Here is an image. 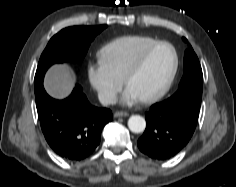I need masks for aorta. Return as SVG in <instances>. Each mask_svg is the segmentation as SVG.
Wrapping results in <instances>:
<instances>
[{
	"instance_id": "1",
	"label": "aorta",
	"mask_w": 236,
	"mask_h": 187,
	"mask_svg": "<svg viewBox=\"0 0 236 187\" xmlns=\"http://www.w3.org/2000/svg\"><path fill=\"white\" fill-rule=\"evenodd\" d=\"M128 127L134 133H141L146 128V121L140 115H132L128 120Z\"/></svg>"
}]
</instances>
